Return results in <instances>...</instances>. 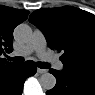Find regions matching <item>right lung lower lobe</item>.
I'll list each match as a JSON object with an SVG mask.
<instances>
[{
    "mask_svg": "<svg viewBox=\"0 0 95 95\" xmlns=\"http://www.w3.org/2000/svg\"><path fill=\"white\" fill-rule=\"evenodd\" d=\"M36 70L33 61H26L0 75V95H21L25 80Z\"/></svg>",
    "mask_w": 95,
    "mask_h": 95,
    "instance_id": "right-lung-lower-lobe-1",
    "label": "right lung lower lobe"
}]
</instances>
